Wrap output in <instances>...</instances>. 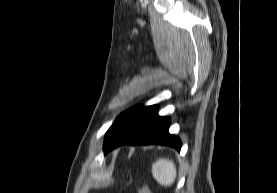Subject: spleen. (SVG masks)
Masks as SVG:
<instances>
[{"label":"spleen","instance_id":"1","mask_svg":"<svg viewBox=\"0 0 277 193\" xmlns=\"http://www.w3.org/2000/svg\"><path fill=\"white\" fill-rule=\"evenodd\" d=\"M152 175L162 186H171L177 176L174 162L166 158H160L152 164Z\"/></svg>","mask_w":277,"mask_h":193}]
</instances>
